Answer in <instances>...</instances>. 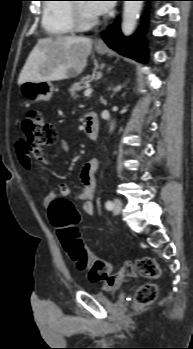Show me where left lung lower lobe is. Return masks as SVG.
I'll return each mask as SVG.
<instances>
[{
  "label": "left lung lower lobe",
  "mask_w": 193,
  "mask_h": 349,
  "mask_svg": "<svg viewBox=\"0 0 193 349\" xmlns=\"http://www.w3.org/2000/svg\"><path fill=\"white\" fill-rule=\"evenodd\" d=\"M143 1H156V0H143ZM146 25L143 26V28ZM141 31L131 38H125L121 34L119 29L118 19L115 21L114 25L108 29L104 35V40L109 47L118 51L119 53L135 59L139 62L147 61V50L145 48L144 39L140 36Z\"/></svg>",
  "instance_id": "1"
}]
</instances>
